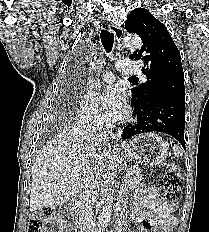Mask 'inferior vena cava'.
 Masks as SVG:
<instances>
[{"label": "inferior vena cava", "instance_id": "obj_1", "mask_svg": "<svg viewBox=\"0 0 209 232\" xmlns=\"http://www.w3.org/2000/svg\"><path fill=\"white\" fill-rule=\"evenodd\" d=\"M106 137V133L97 134L96 138ZM101 170L95 168L84 182L83 192L79 198V232H92L94 227V205L99 195Z\"/></svg>", "mask_w": 209, "mask_h": 232}]
</instances>
